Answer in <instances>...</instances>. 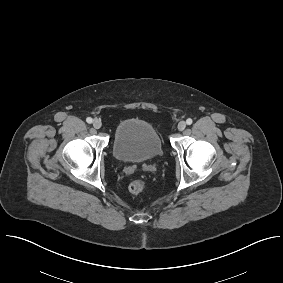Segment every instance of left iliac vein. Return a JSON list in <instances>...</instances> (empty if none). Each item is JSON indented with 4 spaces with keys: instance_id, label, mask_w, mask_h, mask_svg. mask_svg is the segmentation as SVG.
<instances>
[{
    "instance_id": "obj_1",
    "label": "left iliac vein",
    "mask_w": 283,
    "mask_h": 283,
    "mask_svg": "<svg viewBox=\"0 0 283 283\" xmlns=\"http://www.w3.org/2000/svg\"><path fill=\"white\" fill-rule=\"evenodd\" d=\"M177 128H178L179 131H183L186 128V122L185 121H180L178 123Z\"/></svg>"
}]
</instances>
